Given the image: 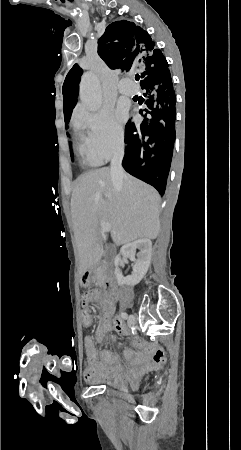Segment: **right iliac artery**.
Here are the masks:
<instances>
[{
	"instance_id": "right-iliac-artery-1",
	"label": "right iliac artery",
	"mask_w": 241,
	"mask_h": 450,
	"mask_svg": "<svg viewBox=\"0 0 241 450\" xmlns=\"http://www.w3.org/2000/svg\"><path fill=\"white\" fill-rule=\"evenodd\" d=\"M121 317H122L124 320H126V319H127V314H126L125 312H122V313H121Z\"/></svg>"
}]
</instances>
